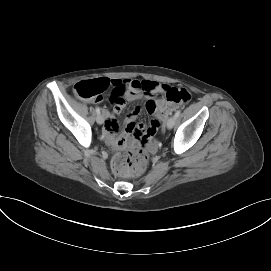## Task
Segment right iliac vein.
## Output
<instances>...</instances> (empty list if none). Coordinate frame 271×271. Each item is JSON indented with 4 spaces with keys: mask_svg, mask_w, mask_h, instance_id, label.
<instances>
[{
    "mask_svg": "<svg viewBox=\"0 0 271 271\" xmlns=\"http://www.w3.org/2000/svg\"><path fill=\"white\" fill-rule=\"evenodd\" d=\"M96 121L98 124H103L104 123V116L103 114H98L96 117Z\"/></svg>",
    "mask_w": 271,
    "mask_h": 271,
    "instance_id": "63e3f726",
    "label": "right iliac vein"
}]
</instances>
